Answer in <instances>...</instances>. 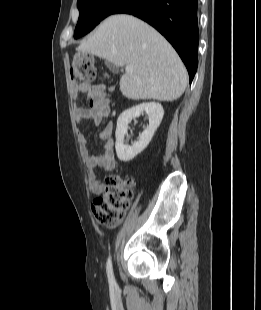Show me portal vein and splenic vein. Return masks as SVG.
<instances>
[{"mask_svg":"<svg viewBox=\"0 0 261 310\" xmlns=\"http://www.w3.org/2000/svg\"><path fill=\"white\" fill-rule=\"evenodd\" d=\"M125 71L126 72H132L133 68L131 66H126Z\"/></svg>","mask_w":261,"mask_h":310,"instance_id":"1","label":"portal vein and splenic vein"}]
</instances>
